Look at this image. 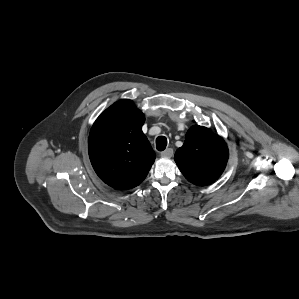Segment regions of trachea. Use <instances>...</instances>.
<instances>
[{
	"label": "trachea",
	"mask_w": 299,
	"mask_h": 299,
	"mask_svg": "<svg viewBox=\"0 0 299 299\" xmlns=\"http://www.w3.org/2000/svg\"><path fill=\"white\" fill-rule=\"evenodd\" d=\"M167 146V138L165 136H159L156 139V149L163 151Z\"/></svg>",
	"instance_id": "3493384b"
}]
</instances>
